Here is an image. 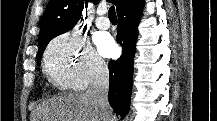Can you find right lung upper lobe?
<instances>
[{"mask_svg":"<svg viewBox=\"0 0 217 121\" xmlns=\"http://www.w3.org/2000/svg\"><path fill=\"white\" fill-rule=\"evenodd\" d=\"M88 2L97 4L99 0H50L40 23L39 49L54 37L71 30L81 19L84 6L87 9ZM111 2L116 5L118 12L125 0Z\"/></svg>","mask_w":217,"mask_h":121,"instance_id":"1","label":"right lung upper lobe"}]
</instances>
